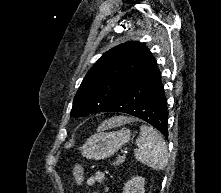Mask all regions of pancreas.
<instances>
[{
  "label": "pancreas",
  "mask_w": 221,
  "mask_h": 193,
  "mask_svg": "<svg viewBox=\"0 0 221 193\" xmlns=\"http://www.w3.org/2000/svg\"><path fill=\"white\" fill-rule=\"evenodd\" d=\"M124 161H125V157L118 158V159L113 163V165L122 164Z\"/></svg>",
  "instance_id": "cf45deb5"
}]
</instances>
